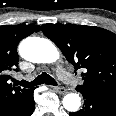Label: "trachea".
I'll return each mask as SVG.
<instances>
[{
	"label": "trachea",
	"mask_w": 116,
	"mask_h": 116,
	"mask_svg": "<svg viewBox=\"0 0 116 116\" xmlns=\"http://www.w3.org/2000/svg\"><path fill=\"white\" fill-rule=\"evenodd\" d=\"M15 85H20L23 86L25 88H31L37 85H41V84H47V85H57V82L55 81L54 78H52L50 75H48L47 73L43 72L41 75H39L37 78H35L33 81L31 82H27L25 80L22 81H17L14 80Z\"/></svg>",
	"instance_id": "3493384b"
}]
</instances>
